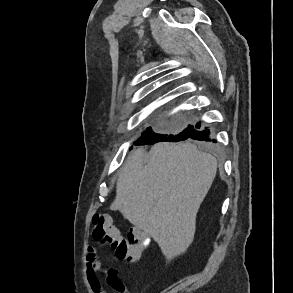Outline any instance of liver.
<instances>
[{
    "label": "liver",
    "mask_w": 293,
    "mask_h": 293,
    "mask_svg": "<svg viewBox=\"0 0 293 293\" xmlns=\"http://www.w3.org/2000/svg\"><path fill=\"white\" fill-rule=\"evenodd\" d=\"M217 160L189 142L134 150L121 169L110 208L158 243L171 259L194 238L196 216L216 175Z\"/></svg>",
    "instance_id": "1"
}]
</instances>
